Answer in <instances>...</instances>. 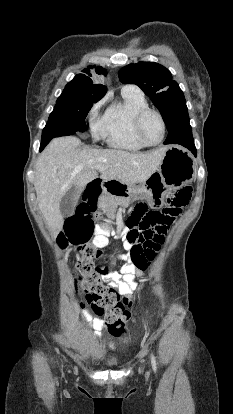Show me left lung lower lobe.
<instances>
[{
  "mask_svg": "<svg viewBox=\"0 0 233 414\" xmlns=\"http://www.w3.org/2000/svg\"><path fill=\"white\" fill-rule=\"evenodd\" d=\"M164 144H179L188 148L196 155V148L192 137V128L189 124L188 113L181 115L170 128Z\"/></svg>",
  "mask_w": 233,
  "mask_h": 414,
  "instance_id": "left-lung-lower-lobe-1",
  "label": "left lung lower lobe"
}]
</instances>
